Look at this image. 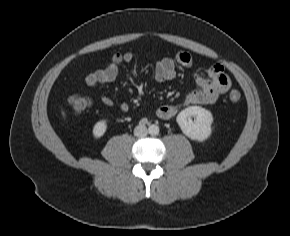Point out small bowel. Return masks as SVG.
<instances>
[{
    "label": "small bowel",
    "mask_w": 290,
    "mask_h": 236,
    "mask_svg": "<svg viewBox=\"0 0 290 236\" xmlns=\"http://www.w3.org/2000/svg\"><path fill=\"white\" fill-rule=\"evenodd\" d=\"M134 60L132 52L115 53L111 61L104 67L89 73L85 82L88 87L95 88L99 84L112 82L119 74V66L123 63H131ZM191 67L193 57L190 53L181 51L173 57H165L156 62L154 79L158 82L173 80L176 77V66ZM195 81L199 89L191 91L185 98L184 105H211L218 101L230 87V78L225 74L220 64H213L208 68V78L196 74ZM101 102L107 107L113 106V99L109 96H102ZM122 112L128 111L126 103L120 104ZM178 108L174 105L160 106L156 114L160 119L167 120L174 117Z\"/></svg>",
    "instance_id": "1"
}]
</instances>
